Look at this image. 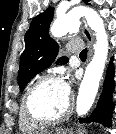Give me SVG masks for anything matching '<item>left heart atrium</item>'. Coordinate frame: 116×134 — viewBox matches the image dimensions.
Listing matches in <instances>:
<instances>
[{"label": "left heart atrium", "mask_w": 116, "mask_h": 134, "mask_svg": "<svg viewBox=\"0 0 116 134\" xmlns=\"http://www.w3.org/2000/svg\"><path fill=\"white\" fill-rule=\"evenodd\" d=\"M61 85H62V88H63L65 95L70 98L71 86H70L69 82L66 80H61Z\"/></svg>", "instance_id": "39dd6f15"}]
</instances>
